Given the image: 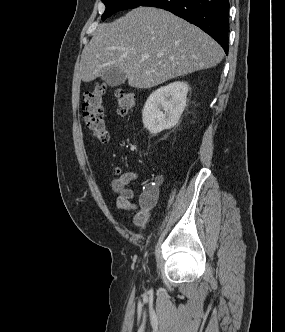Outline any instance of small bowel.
I'll use <instances>...</instances> for the list:
<instances>
[{"instance_id":"obj_1","label":"small bowel","mask_w":285,"mask_h":332,"mask_svg":"<svg viewBox=\"0 0 285 332\" xmlns=\"http://www.w3.org/2000/svg\"><path fill=\"white\" fill-rule=\"evenodd\" d=\"M139 176L136 172H125L119 178L112 180L111 189L115 195L116 209L121 211L136 210L135 223L144 225L148 221L149 212L155 205L164 182L162 174H157L151 182L145 185L139 195L137 203L133 202L135 193L132 186L136 184Z\"/></svg>"}]
</instances>
